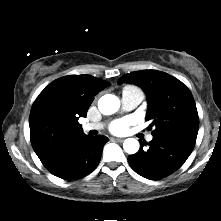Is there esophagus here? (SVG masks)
Instances as JSON below:
<instances>
[{
  "label": "esophagus",
  "instance_id": "esophagus-1",
  "mask_svg": "<svg viewBox=\"0 0 221 221\" xmlns=\"http://www.w3.org/2000/svg\"><path fill=\"white\" fill-rule=\"evenodd\" d=\"M113 139L118 142H122L124 140L123 138H113Z\"/></svg>",
  "mask_w": 221,
  "mask_h": 221
}]
</instances>
